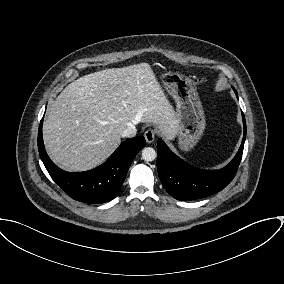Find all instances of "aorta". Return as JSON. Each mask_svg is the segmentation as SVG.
Wrapping results in <instances>:
<instances>
[{
    "label": "aorta",
    "mask_w": 284,
    "mask_h": 284,
    "mask_svg": "<svg viewBox=\"0 0 284 284\" xmlns=\"http://www.w3.org/2000/svg\"><path fill=\"white\" fill-rule=\"evenodd\" d=\"M157 156L155 149L151 147H145L142 150V159L147 162L153 161Z\"/></svg>",
    "instance_id": "obj_1"
}]
</instances>
